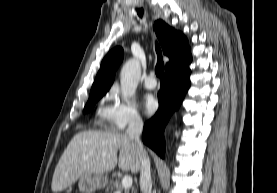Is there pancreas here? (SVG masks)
Masks as SVG:
<instances>
[{
	"label": "pancreas",
	"mask_w": 277,
	"mask_h": 193,
	"mask_svg": "<svg viewBox=\"0 0 277 193\" xmlns=\"http://www.w3.org/2000/svg\"><path fill=\"white\" fill-rule=\"evenodd\" d=\"M110 190L114 192V190H121L123 191L124 189L122 188L121 184H120V181L119 180H110ZM125 193H129V190H125ZM132 193H135L133 192L132 190Z\"/></svg>",
	"instance_id": "pancreas-1"
}]
</instances>
